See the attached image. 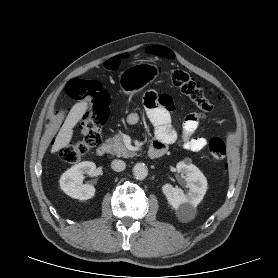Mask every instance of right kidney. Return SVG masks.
<instances>
[{
    "mask_svg": "<svg viewBox=\"0 0 278 278\" xmlns=\"http://www.w3.org/2000/svg\"><path fill=\"white\" fill-rule=\"evenodd\" d=\"M96 165L90 161H84L72 166L65 171L59 180L60 188L70 197L79 200H88L95 194V188L89 184H83L84 174L92 175Z\"/></svg>",
    "mask_w": 278,
    "mask_h": 278,
    "instance_id": "obj_1",
    "label": "right kidney"
}]
</instances>
